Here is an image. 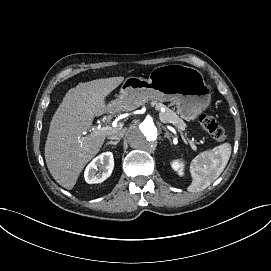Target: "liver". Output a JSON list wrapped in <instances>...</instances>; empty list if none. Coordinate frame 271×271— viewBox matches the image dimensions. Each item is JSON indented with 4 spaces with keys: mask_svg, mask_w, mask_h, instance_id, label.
I'll list each match as a JSON object with an SVG mask.
<instances>
[{
    "mask_svg": "<svg viewBox=\"0 0 271 271\" xmlns=\"http://www.w3.org/2000/svg\"><path fill=\"white\" fill-rule=\"evenodd\" d=\"M123 80L112 77L79 83L66 93L52 117L45 159L52 177L62 187L71 190L84 166L99 152L105 135L82 137V133L90 129L95 116L109 111L104 98Z\"/></svg>",
    "mask_w": 271,
    "mask_h": 271,
    "instance_id": "obj_1",
    "label": "liver"
}]
</instances>
